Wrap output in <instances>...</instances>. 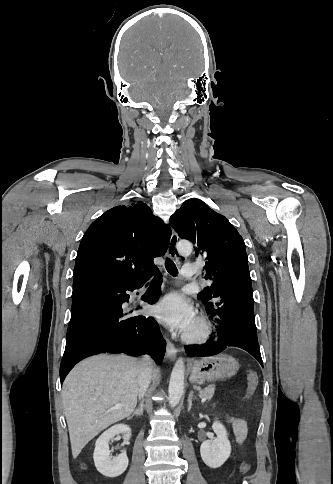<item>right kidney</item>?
I'll return each mask as SVG.
<instances>
[{
    "label": "right kidney",
    "mask_w": 333,
    "mask_h": 484,
    "mask_svg": "<svg viewBox=\"0 0 333 484\" xmlns=\"http://www.w3.org/2000/svg\"><path fill=\"white\" fill-rule=\"evenodd\" d=\"M123 434L124 441L131 437V428L125 424H117L105 431L96 441L93 454L97 470L104 476L114 478L120 476L128 467L126 451L112 457L109 451V441L115 435Z\"/></svg>",
    "instance_id": "1"
}]
</instances>
